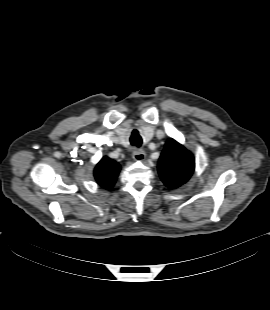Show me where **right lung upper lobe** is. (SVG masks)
<instances>
[{
  "mask_svg": "<svg viewBox=\"0 0 270 310\" xmlns=\"http://www.w3.org/2000/svg\"><path fill=\"white\" fill-rule=\"evenodd\" d=\"M120 165L114 160L103 157L96 165L94 176L100 186L110 189L116 182Z\"/></svg>",
  "mask_w": 270,
  "mask_h": 310,
  "instance_id": "1",
  "label": "right lung upper lobe"
}]
</instances>
